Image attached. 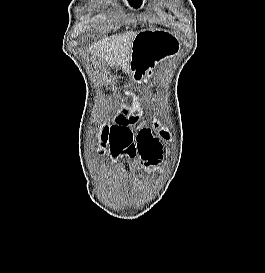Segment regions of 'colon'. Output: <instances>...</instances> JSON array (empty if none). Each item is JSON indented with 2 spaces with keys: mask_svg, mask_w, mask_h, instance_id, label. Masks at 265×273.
Masks as SVG:
<instances>
[{
  "mask_svg": "<svg viewBox=\"0 0 265 273\" xmlns=\"http://www.w3.org/2000/svg\"><path fill=\"white\" fill-rule=\"evenodd\" d=\"M151 125H156V127H159V125H162V117L159 116V113H155V116L153 117V120H151ZM161 131H164V128H161ZM163 139H170V134H163Z\"/></svg>",
  "mask_w": 265,
  "mask_h": 273,
  "instance_id": "colon-1",
  "label": "colon"
}]
</instances>
